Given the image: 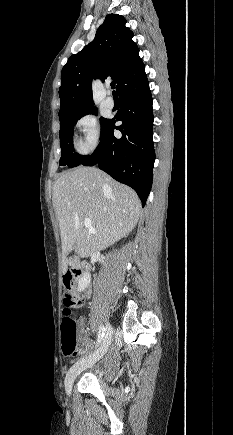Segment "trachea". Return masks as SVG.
<instances>
[{"mask_svg":"<svg viewBox=\"0 0 233 435\" xmlns=\"http://www.w3.org/2000/svg\"><path fill=\"white\" fill-rule=\"evenodd\" d=\"M111 88H112V89H114V88H115V82H114V81H112V82H111ZM113 94H116V92H115V91H113Z\"/></svg>","mask_w":233,"mask_h":435,"instance_id":"3493384b","label":"trachea"}]
</instances>
